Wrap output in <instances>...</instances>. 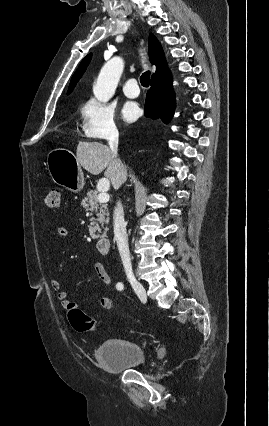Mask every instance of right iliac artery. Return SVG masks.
Here are the masks:
<instances>
[{
  "instance_id": "right-iliac-artery-1",
  "label": "right iliac artery",
  "mask_w": 269,
  "mask_h": 426,
  "mask_svg": "<svg viewBox=\"0 0 269 426\" xmlns=\"http://www.w3.org/2000/svg\"><path fill=\"white\" fill-rule=\"evenodd\" d=\"M117 288H118V289H123V285L119 283V284L117 285Z\"/></svg>"
}]
</instances>
